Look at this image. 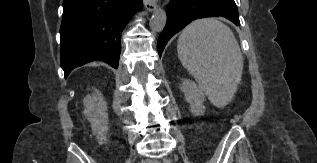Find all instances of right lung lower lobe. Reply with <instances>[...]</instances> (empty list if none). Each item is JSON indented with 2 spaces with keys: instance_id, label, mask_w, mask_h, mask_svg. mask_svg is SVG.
Instances as JSON below:
<instances>
[{
  "instance_id": "98d812e1",
  "label": "right lung lower lobe",
  "mask_w": 317,
  "mask_h": 163,
  "mask_svg": "<svg viewBox=\"0 0 317 163\" xmlns=\"http://www.w3.org/2000/svg\"><path fill=\"white\" fill-rule=\"evenodd\" d=\"M140 9L142 0H64L60 42L65 78L95 60L117 68L121 33Z\"/></svg>"
}]
</instances>
